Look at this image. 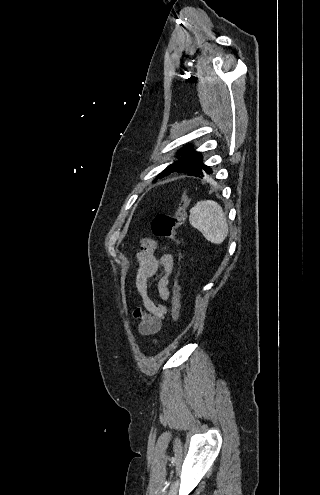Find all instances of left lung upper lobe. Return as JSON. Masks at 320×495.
Listing matches in <instances>:
<instances>
[{"mask_svg":"<svg viewBox=\"0 0 320 495\" xmlns=\"http://www.w3.org/2000/svg\"><path fill=\"white\" fill-rule=\"evenodd\" d=\"M191 145L182 148L178 154L181 157H177L178 161L169 165L164 171H162L158 177H164L172 172L186 173L198 164L202 162V156L199 152H195L191 149Z\"/></svg>","mask_w":320,"mask_h":495,"instance_id":"left-lung-upper-lobe-1","label":"left lung upper lobe"}]
</instances>
